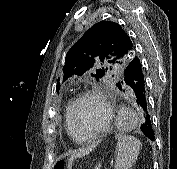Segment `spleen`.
<instances>
[{"label":"spleen","instance_id":"3e777b00","mask_svg":"<svg viewBox=\"0 0 177 169\" xmlns=\"http://www.w3.org/2000/svg\"><path fill=\"white\" fill-rule=\"evenodd\" d=\"M115 169H130L136 162L141 142L134 136L117 134Z\"/></svg>","mask_w":177,"mask_h":169}]
</instances>
